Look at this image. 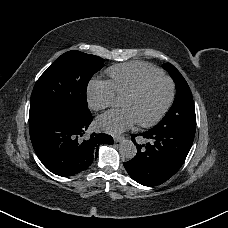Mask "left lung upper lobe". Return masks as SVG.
I'll list each match as a JSON object with an SVG mask.
<instances>
[{
  "mask_svg": "<svg viewBox=\"0 0 228 228\" xmlns=\"http://www.w3.org/2000/svg\"><path fill=\"white\" fill-rule=\"evenodd\" d=\"M163 67L170 73L176 84V96L170 110L155 128L195 132L196 115L190 88L184 77L172 64L165 63Z\"/></svg>",
  "mask_w": 228,
  "mask_h": 228,
  "instance_id": "5c2ea615",
  "label": "left lung upper lobe"
}]
</instances>
